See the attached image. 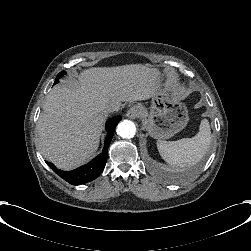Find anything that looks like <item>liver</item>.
Segmentation results:
<instances>
[{"label":"liver","instance_id":"1","mask_svg":"<svg viewBox=\"0 0 251 251\" xmlns=\"http://www.w3.org/2000/svg\"><path fill=\"white\" fill-rule=\"evenodd\" d=\"M158 71L148 64L92 67L77 80H61L46 97L36 130L40 152L57 168L71 170L98 149L108 107L152 98Z\"/></svg>","mask_w":251,"mask_h":251}]
</instances>
